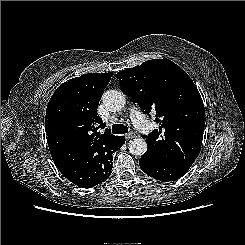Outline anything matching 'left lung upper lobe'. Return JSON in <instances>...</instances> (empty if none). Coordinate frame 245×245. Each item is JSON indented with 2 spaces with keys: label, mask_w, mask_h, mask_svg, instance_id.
Segmentation results:
<instances>
[{
  "label": "left lung upper lobe",
  "mask_w": 245,
  "mask_h": 245,
  "mask_svg": "<svg viewBox=\"0 0 245 245\" xmlns=\"http://www.w3.org/2000/svg\"><path fill=\"white\" fill-rule=\"evenodd\" d=\"M125 94L145 114L156 113L159 129L143 136L145 156L158 162L191 167L200 153L205 109L188 74L169 59H153L116 74Z\"/></svg>",
  "instance_id": "left-lung-upper-lobe-1"
}]
</instances>
